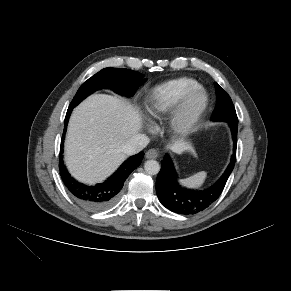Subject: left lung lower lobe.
Segmentation results:
<instances>
[{
  "instance_id": "1",
  "label": "left lung lower lobe",
  "mask_w": 291,
  "mask_h": 291,
  "mask_svg": "<svg viewBox=\"0 0 291 291\" xmlns=\"http://www.w3.org/2000/svg\"><path fill=\"white\" fill-rule=\"evenodd\" d=\"M220 120L229 124L234 141L233 155L224 174L207 189L196 191L181 186L169 155L161 162V170L156 181V192L161 204L172 212L182 215H193L209 207L222 193L230 176L236 158L238 121L226 117Z\"/></svg>"
}]
</instances>
